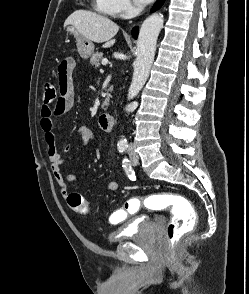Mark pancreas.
Here are the masks:
<instances>
[{"mask_svg":"<svg viewBox=\"0 0 249 294\" xmlns=\"http://www.w3.org/2000/svg\"><path fill=\"white\" fill-rule=\"evenodd\" d=\"M103 60V54L102 53H99V52H96L92 55V57L90 58V63L92 66H95V67H99L100 65V62ZM109 91H112V87L109 88V90L107 91V93L105 94L106 96V99L104 100V102L102 103V108L106 107L109 105Z\"/></svg>","mask_w":249,"mask_h":294,"instance_id":"cf45deb5","label":"pancreas"}]
</instances>
